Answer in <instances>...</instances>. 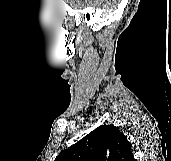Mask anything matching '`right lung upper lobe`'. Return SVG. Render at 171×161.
<instances>
[{
  "label": "right lung upper lobe",
  "mask_w": 171,
  "mask_h": 161,
  "mask_svg": "<svg viewBox=\"0 0 171 161\" xmlns=\"http://www.w3.org/2000/svg\"><path fill=\"white\" fill-rule=\"evenodd\" d=\"M54 161H135L131 143L113 125H102L63 150Z\"/></svg>",
  "instance_id": "obj_1"
}]
</instances>
